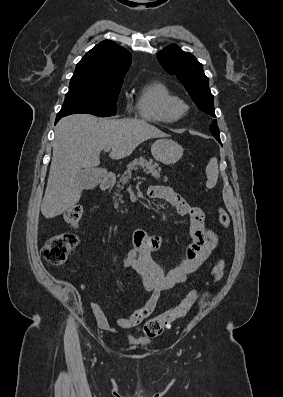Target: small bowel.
<instances>
[{
  "label": "small bowel",
  "instance_id": "1",
  "mask_svg": "<svg viewBox=\"0 0 283 397\" xmlns=\"http://www.w3.org/2000/svg\"><path fill=\"white\" fill-rule=\"evenodd\" d=\"M148 196L152 199L166 201L180 216L190 220L191 242L185 249L184 257L171 269H166L154 255L162 248V238L149 235L145 230L137 229L132 234L133 249L125 256L124 268L132 270L140 277L142 285L148 293L143 306L131 315L116 319V325L122 329H132L149 317L155 310L162 291L187 281L195 273L218 245L217 234L210 229L205 220V214L199 207L188 204L185 199L167 186H151ZM92 313L100 329L115 333L101 307L91 304Z\"/></svg>",
  "mask_w": 283,
  "mask_h": 397
}]
</instances>
